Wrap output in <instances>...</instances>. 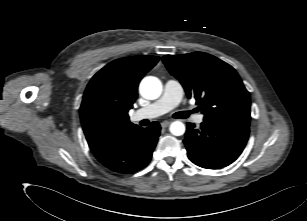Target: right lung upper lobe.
<instances>
[{
  "instance_id": "right-lung-upper-lobe-1",
  "label": "right lung upper lobe",
  "mask_w": 307,
  "mask_h": 221,
  "mask_svg": "<svg viewBox=\"0 0 307 221\" xmlns=\"http://www.w3.org/2000/svg\"><path fill=\"white\" fill-rule=\"evenodd\" d=\"M158 60L157 56L117 59L92 77L83 96L80 117L94 155L137 127L130 122L128 111L137 98L140 80Z\"/></svg>"
}]
</instances>
